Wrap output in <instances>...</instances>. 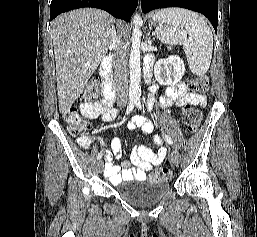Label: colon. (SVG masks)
<instances>
[{
  "instance_id": "colon-1",
  "label": "colon",
  "mask_w": 257,
  "mask_h": 237,
  "mask_svg": "<svg viewBox=\"0 0 257 237\" xmlns=\"http://www.w3.org/2000/svg\"><path fill=\"white\" fill-rule=\"evenodd\" d=\"M209 85V79L206 75L196 76L190 82V90L197 93H204L207 91ZM98 96V85L96 81H92L85 88L82 98L84 100H93ZM65 120L69 125V131L73 135H77L82 131L89 130L91 128V123L81 117L78 110L74 107L70 108L65 113ZM202 120L201 112L190 105L184 107V122L190 132H195ZM171 177V171L167 168H160L154 170L149 179L152 182L167 181Z\"/></svg>"
}]
</instances>
